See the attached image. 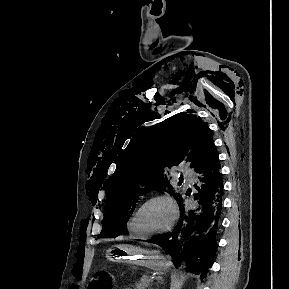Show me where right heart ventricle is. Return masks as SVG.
<instances>
[{
    "instance_id": "1",
    "label": "right heart ventricle",
    "mask_w": 289,
    "mask_h": 289,
    "mask_svg": "<svg viewBox=\"0 0 289 289\" xmlns=\"http://www.w3.org/2000/svg\"><path fill=\"white\" fill-rule=\"evenodd\" d=\"M132 215L130 216V218L128 219V222H127L128 232L134 238H141L142 236L134 229V227L132 225Z\"/></svg>"
}]
</instances>
